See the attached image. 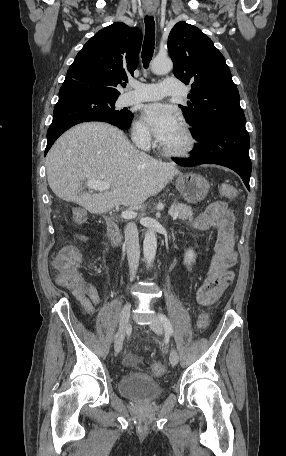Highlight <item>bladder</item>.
<instances>
[{
    "label": "bladder",
    "mask_w": 286,
    "mask_h": 456,
    "mask_svg": "<svg viewBox=\"0 0 286 456\" xmlns=\"http://www.w3.org/2000/svg\"><path fill=\"white\" fill-rule=\"evenodd\" d=\"M118 390L122 396L140 403L153 402L163 393V387L158 381L142 373L123 375Z\"/></svg>",
    "instance_id": "bladder-1"
}]
</instances>
